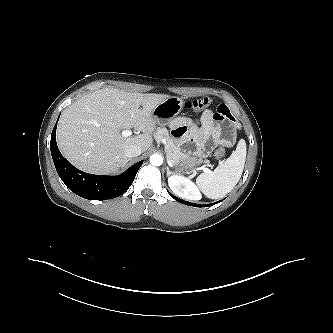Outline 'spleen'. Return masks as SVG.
<instances>
[{"instance_id":"3e777b00","label":"spleen","mask_w":333,"mask_h":333,"mask_svg":"<svg viewBox=\"0 0 333 333\" xmlns=\"http://www.w3.org/2000/svg\"><path fill=\"white\" fill-rule=\"evenodd\" d=\"M246 160V142L241 139L231 156L213 172L202 173L196 184L210 199H219L229 193L238 183L243 173Z\"/></svg>"}]
</instances>
